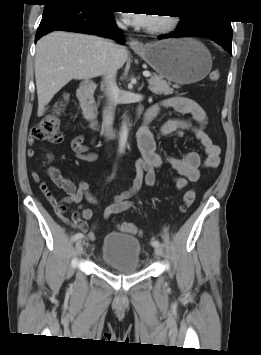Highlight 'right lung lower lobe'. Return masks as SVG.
<instances>
[{
  "mask_svg": "<svg viewBox=\"0 0 261 355\" xmlns=\"http://www.w3.org/2000/svg\"><path fill=\"white\" fill-rule=\"evenodd\" d=\"M70 31L110 36L124 43L125 39L116 28L113 11L84 0H56L45 3L35 42L52 31Z\"/></svg>",
  "mask_w": 261,
  "mask_h": 355,
  "instance_id": "right-lung-lower-lobe-1",
  "label": "right lung lower lobe"
}]
</instances>
